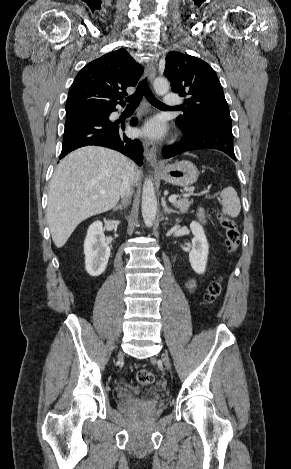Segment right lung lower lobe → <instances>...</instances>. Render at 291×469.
I'll return each instance as SVG.
<instances>
[{
    "instance_id": "obj_1",
    "label": "right lung lower lobe",
    "mask_w": 291,
    "mask_h": 469,
    "mask_svg": "<svg viewBox=\"0 0 291 469\" xmlns=\"http://www.w3.org/2000/svg\"><path fill=\"white\" fill-rule=\"evenodd\" d=\"M116 105L96 106L67 115L60 158L87 145H97L117 150L132 158L138 165L143 163V147L137 139L128 138L124 123L112 122L109 116ZM123 106V105H122ZM131 126L137 124L133 118Z\"/></svg>"
}]
</instances>
